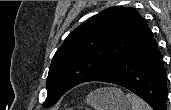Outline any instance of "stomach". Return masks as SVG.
Returning a JSON list of instances; mask_svg holds the SVG:
<instances>
[{
    "mask_svg": "<svg viewBox=\"0 0 171 110\" xmlns=\"http://www.w3.org/2000/svg\"><path fill=\"white\" fill-rule=\"evenodd\" d=\"M86 102L94 110H130V102L116 87H105L91 92L87 96Z\"/></svg>",
    "mask_w": 171,
    "mask_h": 110,
    "instance_id": "stomach-1",
    "label": "stomach"
}]
</instances>
